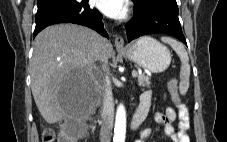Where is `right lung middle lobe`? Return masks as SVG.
<instances>
[{
    "mask_svg": "<svg viewBox=\"0 0 227 142\" xmlns=\"http://www.w3.org/2000/svg\"><path fill=\"white\" fill-rule=\"evenodd\" d=\"M77 2L76 0H38V8H43L47 6H52L56 4H62V3H72Z\"/></svg>",
    "mask_w": 227,
    "mask_h": 142,
    "instance_id": "right-lung-middle-lobe-1",
    "label": "right lung middle lobe"
}]
</instances>
